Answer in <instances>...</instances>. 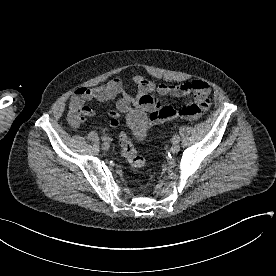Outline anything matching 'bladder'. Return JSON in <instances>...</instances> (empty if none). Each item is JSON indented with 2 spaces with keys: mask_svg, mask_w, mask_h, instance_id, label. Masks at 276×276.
Returning <instances> with one entry per match:
<instances>
[{
  "mask_svg": "<svg viewBox=\"0 0 276 276\" xmlns=\"http://www.w3.org/2000/svg\"><path fill=\"white\" fill-rule=\"evenodd\" d=\"M127 127L133 137L142 140L148 130V117L145 113L135 112L130 114L126 120Z\"/></svg>",
  "mask_w": 276,
  "mask_h": 276,
  "instance_id": "1",
  "label": "bladder"
}]
</instances>
